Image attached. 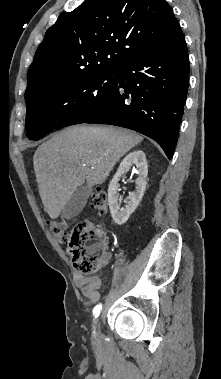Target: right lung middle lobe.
I'll use <instances>...</instances> for the list:
<instances>
[{"mask_svg":"<svg viewBox=\"0 0 221 379\" xmlns=\"http://www.w3.org/2000/svg\"><path fill=\"white\" fill-rule=\"evenodd\" d=\"M117 69L85 74L53 85L27 104L26 130L30 140H39L55 128L86 118L110 97Z\"/></svg>","mask_w":221,"mask_h":379,"instance_id":"1","label":"right lung middle lobe"}]
</instances>
